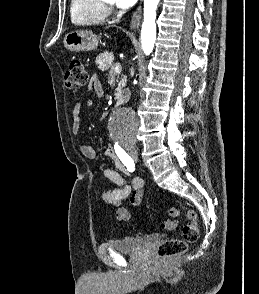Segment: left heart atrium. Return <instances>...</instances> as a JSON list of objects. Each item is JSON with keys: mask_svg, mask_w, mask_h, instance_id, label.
Returning <instances> with one entry per match:
<instances>
[{"mask_svg": "<svg viewBox=\"0 0 259 294\" xmlns=\"http://www.w3.org/2000/svg\"><path fill=\"white\" fill-rule=\"evenodd\" d=\"M116 5L120 8H129L133 6L137 0H114Z\"/></svg>", "mask_w": 259, "mask_h": 294, "instance_id": "39dd6f15", "label": "left heart atrium"}]
</instances>
